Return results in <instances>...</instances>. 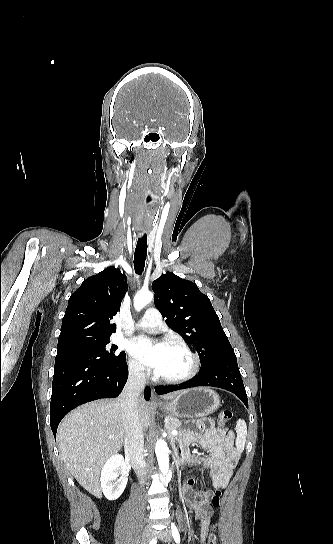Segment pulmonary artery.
<instances>
[{
    "label": "pulmonary artery",
    "instance_id": "pulmonary-artery-1",
    "mask_svg": "<svg viewBox=\"0 0 333 544\" xmlns=\"http://www.w3.org/2000/svg\"><path fill=\"white\" fill-rule=\"evenodd\" d=\"M162 320L159 311L155 308H149L146 310L143 318L136 323L137 327L142 328H158L161 327Z\"/></svg>",
    "mask_w": 333,
    "mask_h": 544
}]
</instances>
